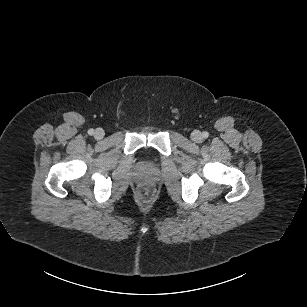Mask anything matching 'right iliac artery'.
Wrapping results in <instances>:
<instances>
[{"instance_id":"1","label":"right iliac artery","mask_w":307,"mask_h":307,"mask_svg":"<svg viewBox=\"0 0 307 307\" xmlns=\"http://www.w3.org/2000/svg\"><path fill=\"white\" fill-rule=\"evenodd\" d=\"M88 134H89V135H93V134H94V130H93V129H89V130H88Z\"/></svg>"}]
</instances>
